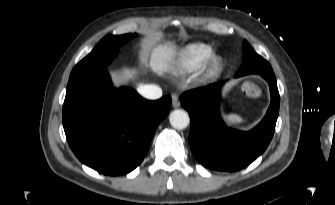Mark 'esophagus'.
Here are the masks:
<instances>
[{
	"label": "esophagus",
	"instance_id": "1",
	"mask_svg": "<svg viewBox=\"0 0 335 205\" xmlns=\"http://www.w3.org/2000/svg\"><path fill=\"white\" fill-rule=\"evenodd\" d=\"M172 106L177 108L180 106V101L177 95H172Z\"/></svg>",
	"mask_w": 335,
	"mask_h": 205
}]
</instances>
